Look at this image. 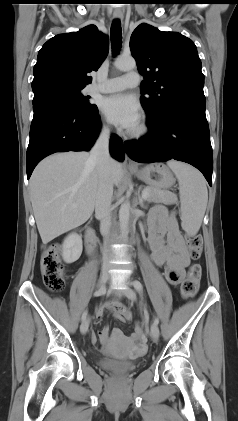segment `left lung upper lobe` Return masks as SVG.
<instances>
[{"mask_svg":"<svg viewBox=\"0 0 238 421\" xmlns=\"http://www.w3.org/2000/svg\"><path fill=\"white\" fill-rule=\"evenodd\" d=\"M130 49L145 78L140 100L148 122L175 102L205 97L201 61L189 38L142 23L131 35Z\"/></svg>","mask_w":238,"mask_h":421,"instance_id":"5c2ea615","label":"left lung upper lobe"}]
</instances>
